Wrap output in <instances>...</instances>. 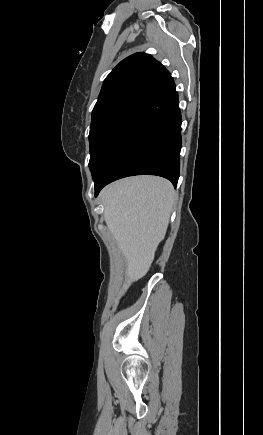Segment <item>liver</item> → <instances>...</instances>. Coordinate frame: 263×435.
<instances>
[{
  "label": "liver",
  "instance_id": "obj_1",
  "mask_svg": "<svg viewBox=\"0 0 263 435\" xmlns=\"http://www.w3.org/2000/svg\"><path fill=\"white\" fill-rule=\"evenodd\" d=\"M172 184L160 177L137 176L106 186L100 193L104 218L137 281L148 272L165 237L174 202Z\"/></svg>",
  "mask_w": 263,
  "mask_h": 435
}]
</instances>
